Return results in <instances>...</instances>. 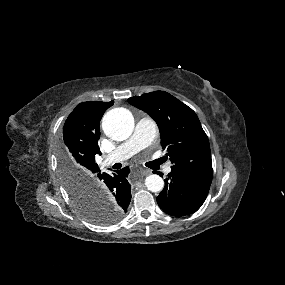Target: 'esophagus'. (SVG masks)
I'll return each mask as SVG.
<instances>
[{"instance_id":"esophagus-1","label":"esophagus","mask_w":285,"mask_h":285,"mask_svg":"<svg viewBox=\"0 0 285 285\" xmlns=\"http://www.w3.org/2000/svg\"><path fill=\"white\" fill-rule=\"evenodd\" d=\"M142 176L148 175L151 173V171L149 169H141L140 171Z\"/></svg>"}]
</instances>
